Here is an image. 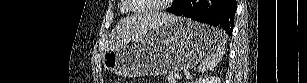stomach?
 I'll return each instance as SVG.
<instances>
[{
  "mask_svg": "<svg viewBox=\"0 0 307 83\" xmlns=\"http://www.w3.org/2000/svg\"><path fill=\"white\" fill-rule=\"evenodd\" d=\"M211 27L176 17L103 54V65L115 75H164L201 62L214 46Z\"/></svg>",
  "mask_w": 307,
  "mask_h": 83,
  "instance_id": "0dacf381",
  "label": "stomach"
}]
</instances>
